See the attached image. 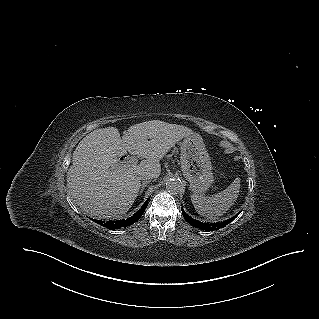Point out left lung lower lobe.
<instances>
[{
    "mask_svg": "<svg viewBox=\"0 0 319 319\" xmlns=\"http://www.w3.org/2000/svg\"><path fill=\"white\" fill-rule=\"evenodd\" d=\"M182 213H183V217L184 219L190 224L192 225L193 227H196V228H199V229H202V230H205V231H215V230H218L220 228H223L225 227L227 224H229L230 222H232L238 215L236 214L233 218L229 219V220H226L224 222H221V223H203V222H200L198 220H195L193 218H191L190 216H188L184 210L182 209Z\"/></svg>",
    "mask_w": 319,
    "mask_h": 319,
    "instance_id": "0a47b994",
    "label": "left lung lower lobe"
}]
</instances>
